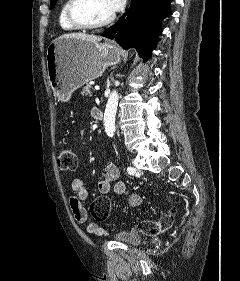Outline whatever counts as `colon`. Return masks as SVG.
I'll return each instance as SVG.
<instances>
[{
	"mask_svg": "<svg viewBox=\"0 0 240 281\" xmlns=\"http://www.w3.org/2000/svg\"><path fill=\"white\" fill-rule=\"evenodd\" d=\"M58 166L64 171H74L77 166V159L70 147H64L58 156ZM111 201L107 196H99L90 204L92 216L100 222L109 218ZM176 218V210H169L158 221L144 220L139 224V230L145 234L155 235L172 227Z\"/></svg>",
	"mask_w": 240,
	"mask_h": 281,
	"instance_id": "5ec220e1",
	"label": "colon"
}]
</instances>
